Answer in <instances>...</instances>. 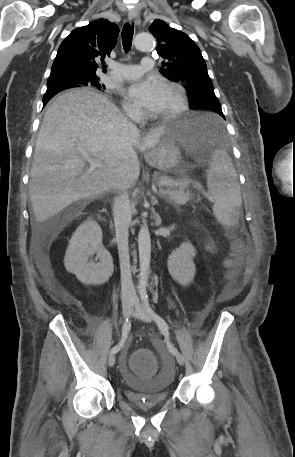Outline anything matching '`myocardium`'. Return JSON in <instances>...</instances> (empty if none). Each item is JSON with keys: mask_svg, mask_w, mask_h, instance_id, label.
<instances>
[{"mask_svg": "<svg viewBox=\"0 0 295 457\" xmlns=\"http://www.w3.org/2000/svg\"><path fill=\"white\" fill-rule=\"evenodd\" d=\"M162 86L167 89L172 90L175 93L176 98H177V103H176L175 107L172 108L171 110L164 112V113H160V114H153V115H151V118L156 119V120L173 119V118L179 116L180 114H182L187 109V107H188L187 95H186L184 88L177 83L166 81V82L162 83Z\"/></svg>", "mask_w": 295, "mask_h": 457, "instance_id": "1", "label": "myocardium"}]
</instances>
